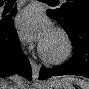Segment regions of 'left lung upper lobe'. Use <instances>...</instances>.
Instances as JSON below:
<instances>
[{
    "label": "left lung upper lobe",
    "instance_id": "left-lung-upper-lobe-1",
    "mask_svg": "<svg viewBox=\"0 0 89 89\" xmlns=\"http://www.w3.org/2000/svg\"><path fill=\"white\" fill-rule=\"evenodd\" d=\"M50 11L62 27L67 29L77 20H89V0H66L61 8Z\"/></svg>",
    "mask_w": 89,
    "mask_h": 89
}]
</instances>
